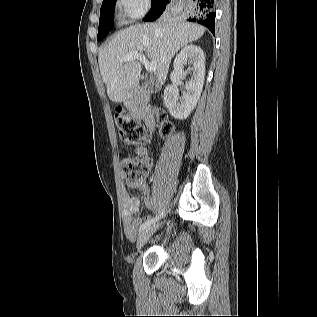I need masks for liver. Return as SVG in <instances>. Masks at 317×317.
Returning a JSON list of instances; mask_svg holds the SVG:
<instances>
[{"mask_svg": "<svg viewBox=\"0 0 317 317\" xmlns=\"http://www.w3.org/2000/svg\"><path fill=\"white\" fill-rule=\"evenodd\" d=\"M201 25L180 18H163L154 24H136L119 31L99 52L98 62L102 80L111 101L122 102L131 96L139 84L141 63L122 61L129 52H145L157 63L156 75L163 85L175 53L188 43L203 36Z\"/></svg>", "mask_w": 317, "mask_h": 317, "instance_id": "obj_1", "label": "liver"}]
</instances>
